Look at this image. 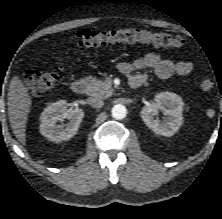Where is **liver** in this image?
Listing matches in <instances>:
<instances>
[{
	"label": "liver",
	"instance_id": "liver-1",
	"mask_svg": "<svg viewBox=\"0 0 222 219\" xmlns=\"http://www.w3.org/2000/svg\"><path fill=\"white\" fill-rule=\"evenodd\" d=\"M31 97L28 89L18 76H14L10 82L8 90V115L11 128L16 138L22 143H26V123L31 107Z\"/></svg>",
	"mask_w": 222,
	"mask_h": 219
}]
</instances>
